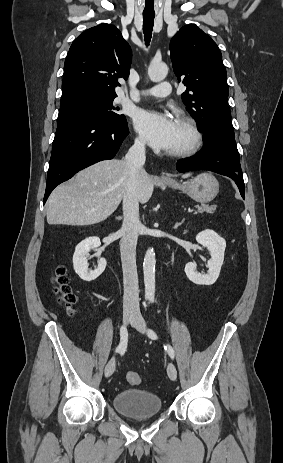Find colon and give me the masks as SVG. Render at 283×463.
Returning a JSON list of instances; mask_svg holds the SVG:
<instances>
[{
	"instance_id": "1",
	"label": "colon",
	"mask_w": 283,
	"mask_h": 463,
	"mask_svg": "<svg viewBox=\"0 0 283 463\" xmlns=\"http://www.w3.org/2000/svg\"><path fill=\"white\" fill-rule=\"evenodd\" d=\"M52 284L55 293L58 295V300L65 306L68 313H72V306L76 301V295L69 285V279L67 277L66 269L63 266H57L53 270ZM126 380L131 385H138L142 379L139 373L129 371L126 374Z\"/></svg>"
}]
</instances>
